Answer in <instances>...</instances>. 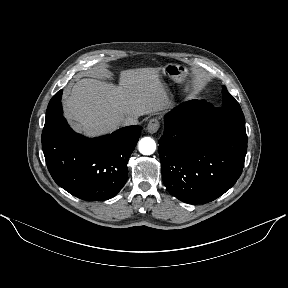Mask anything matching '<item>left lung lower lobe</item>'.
I'll return each instance as SVG.
<instances>
[{"mask_svg": "<svg viewBox=\"0 0 288 288\" xmlns=\"http://www.w3.org/2000/svg\"><path fill=\"white\" fill-rule=\"evenodd\" d=\"M247 152L245 122L192 100L165 116L159 140L162 179L171 195L204 204L228 191L242 173Z\"/></svg>", "mask_w": 288, "mask_h": 288, "instance_id": "left-lung-lower-lobe-1", "label": "left lung lower lobe"}]
</instances>
